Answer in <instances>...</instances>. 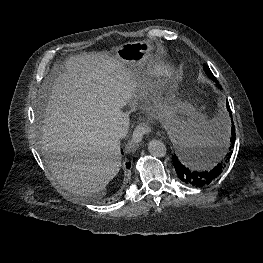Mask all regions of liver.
<instances>
[{
    "instance_id": "liver-1",
    "label": "liver",
    "mask_w": 263,
    "mask_h": 263,
    "mask_svg": "<svg viewBox=\"0 0 263 263\" xmlns=\"http://www.w3.org/2000/svg\"><path fill=\"white\" fill-rule=\"evenodd\" d=\"M64 73L52 82L41 127V150L58 182L80 196L102 193L121 166L118 140L109 135L121 108L148 91L134 66L107 53H87L65 61ZM186 105H178L182 113Z\"/></svg>"
}]
</instances>
